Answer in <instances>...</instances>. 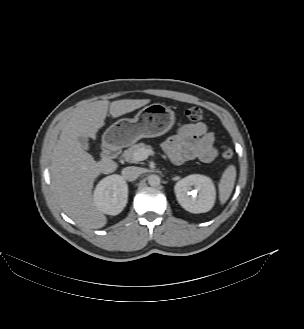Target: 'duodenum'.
Returning a JSON list of instances; mask_svg holds the SVG:
<instances>
[{
  "label": "duodenum",
  "instance_id": "410a0bca",
  "mask_svg": "<svg viewBox=\"0 0 304 329\" xmlns=\"http://www.w3.org/2000/svg\"><path fill=\"white\" fill-rule=\"evenodd\" d=\"M119 154V147L109 141H106L103 145V158L111 160Z\"/></svg>",
  "mask_w": 304,
  "mask_h": 329
}]
</instances>
